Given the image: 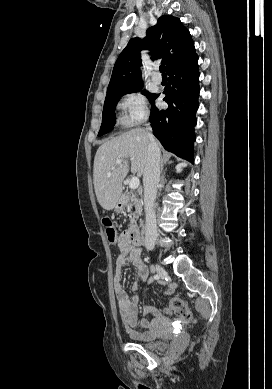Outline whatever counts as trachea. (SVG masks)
<instances>
[{"label":"trachea","mask_w":272,"mask_h":389,"mask_svg":"<svg viewBox=\"0 0 272 389\" xmlns=\"http://www.w3.org/2000/svg\"><path fill=\"white\" fill-rule=\"evenodd\" d=\"M159 70H160V72L162 73V75H166V73H165L166 68H165L164 65H161V66L159 67Z\"/></svg>","instance_id":"trachea-1"}]
</instances>
